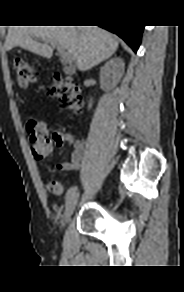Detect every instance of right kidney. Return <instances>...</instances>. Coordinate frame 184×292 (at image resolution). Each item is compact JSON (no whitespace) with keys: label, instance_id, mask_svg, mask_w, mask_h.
I'll use <instances>...</instances> for the list:
<instances>
[{"label":"right kidney","instance_id":"ca27d5eb","mask_svg":"<svg viewBox=\"0 0 184 292\" xmlns=\"http://www.w3.org/2000/svg\"><path fill=\"white\" fill-rule=\"evenodd\" d=\"M125 64L120 57L110 59L100 70V84L105 91L112 90L124 74Z\"/></svg>","mask_w":184,"mask_h":292}]
</instances>
